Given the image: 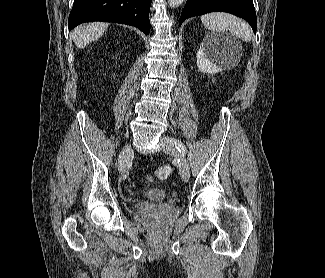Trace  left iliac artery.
I'll list each match as a JSON object with an SVG mask.
<instances>
[{
	"label": "left iliac artery",
	"mask_w": 325,
	"mask_h": 278,
	"mask_svg": "<svg viewBox=\"0 0 325 278\" xmlns=\"http://www.w3.org/2000/svg\"><path fill=\"white\" fill-rule=\"evenodd\" d=\"M170 141H171L172 143H174V145L176 146V148L178 149V151H179L180 153H182L183 155L186 154L187 149H186L185 145H184L181 141L176 140V139H174V138H171Z\"/></svg>",
	"instance_id": "left-iliac-artery-1"
}]
</instances>
